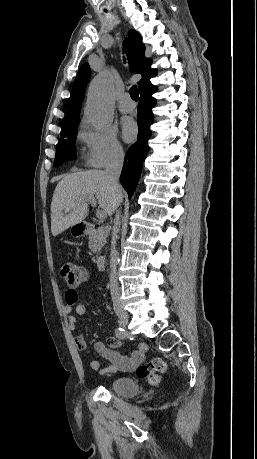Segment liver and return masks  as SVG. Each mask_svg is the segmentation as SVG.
Masks as SVG:
<instances>
[{"instance_id":"obj_1","label":"liver","mask_w":257,"mask_h":459,"mask_svg":"<svg viewBox=\"0 0 257 459\" xmlns=\"http://www.w3.org/2000/svg\"><path fill=\"white\" fill-rule=\"evenodd\" d=\"M96 197L106 215L115 211V195L103 170H87L69 174L57 184L51 202V232L57 236L82 222L88 215L86 202ZM123 199L122 192L120 195Z\"/></svg>"}]
</instances>
